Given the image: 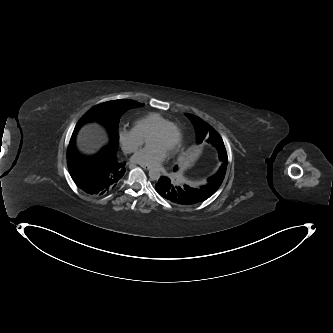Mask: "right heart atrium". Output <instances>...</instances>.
I'll return each instance as SVG.
<instances>
[{
    "instance_id": "d8ad5b80",
    "label": "right heart atrium",
    "mask_w": 333,
    "mask_h": 333,
    "mask_svg": "<svg viewBox=\"0 0 333 333\" xmlns=\"http://www.w3.org/2000/svg\"><path fill=\"white\" fill-rule=\"evenodd\" d=\"M118 137L121 147L126 153H134L144 143V138L134 127H122Z\"/></svg>"
}]
</instances>
